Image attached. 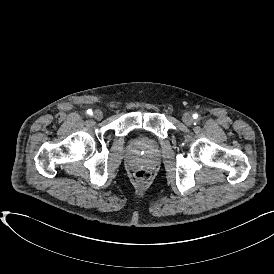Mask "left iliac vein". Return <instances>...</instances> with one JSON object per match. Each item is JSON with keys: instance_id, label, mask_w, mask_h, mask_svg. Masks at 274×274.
I'll use <instances>...</instances> for the list:
<instances>
[{"instance_id": "4c4485c4", "label": "left iliac vein", "mask_w": 274, "mask_h": 274, "mask_svg": "<svg viewBox=\"0 0 274 274\" xmlns=\"http://www.w3.org/2000/svg\"><path fill=\"white\" fill-rule=\"evenodd\" d=\"M182 120L188 126L193 123V118L189 113H185L182 117Z\"/></svg>"}]
</instances>
